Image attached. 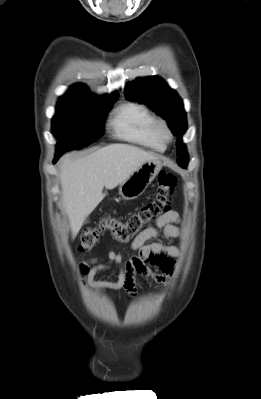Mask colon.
Masks as SVG:
<instances>
[{"label": "colon", "instance_id": "colon-1", "mask_svg": "<svg viewBox=\"0 0 261 399\" xmlns=\"http://www.w3.org/2000/svg\"><path fill=\"white\" fill-rule=\"evenodd\" d=\"M175 184L176 178L172 173L159 172L157 189L152 200L132 212L125 220L108 215L95 225L84 228L80 234L79 249L83 252L91 250L103 233L111 234L119 242H129L136 238L151 223L168 212Z\"/></svg>", "mask_w": 261, "mask_h": 399}]
</instances>
